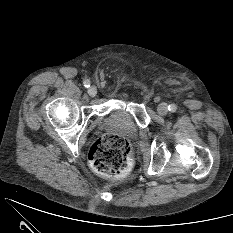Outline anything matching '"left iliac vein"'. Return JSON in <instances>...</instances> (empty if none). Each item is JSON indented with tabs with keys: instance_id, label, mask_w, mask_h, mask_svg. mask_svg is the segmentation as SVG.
I'll return each instance as SVG.
<instances>
[{
	"instance_id": "1",
	"label": "left iliac vein",
	"mask_w": 233,
	"mask_h": 233,
	"mask_svg": "<svg viewBox=\"0 0 233 233\" xmlns=\"http://www.w3.org/2000/svg\"><path fill=\"white\" fill-rule=\"evenodd\" d=\"M157 111L159 115L164 116L168 113V106L166 103H161L157 107Z\"/></svg>"
}]
</instances>
